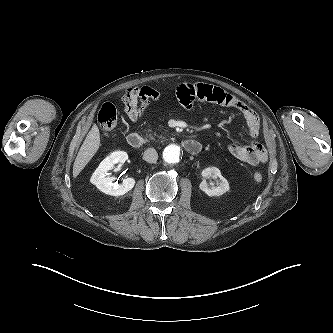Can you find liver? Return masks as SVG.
<instances>
[{
	"label": "liver",
	"mask_w": 333,
	"mask_h": 333,
	"mask_svg": "<svg viewBox=\"0 0 333 333\" xmlns=\"http://www.w3.org/2000/svg\"><path fill=\"white\" fill-rule=\"evenodd\" d=\"M100 146V133L98 126L94 124L87 134L73 165V177L76 178L84 169Z\"/></svg>",
	"instance_id": "liver-1"
}]
</instances>
